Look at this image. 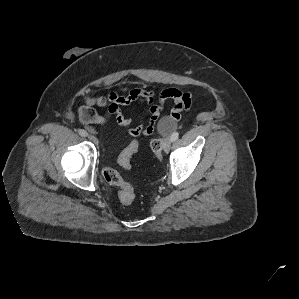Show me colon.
<instances>
[{"label":"colon","mask_w":299,"mask_h":299,"mask_svg":"<svg viewBox=\"0 0 299 299\" xmlns=\"http://www.w3.org/2000/svg\"><path fill=\"white\" fill-rule=\"evenodd\" d=\"M173 126L174 122L169 118L164 119L160 124L162 131H169L173 128ZM150 147L155 157L160 158L162 156L163 141L161 139H154L151 142ZM138 149L139 142L137 139H133L120 153L118 157V164L123 169L129 170L131 168L132 158ZM103 178L109 185L119 188V199L123 204L129 205L134 201L135 193L133 186L129 182L125 181L116 170L112 168H105L103 170Z\"/></svg>","instance_id":"5ec220e1"}]
</instances>
